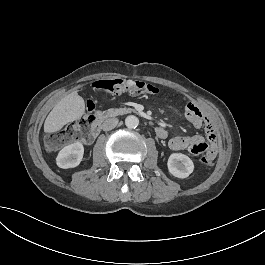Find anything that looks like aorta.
Returning a JSON list of instances; mask_svg holds the SVG:
<instances>
[{"mask_svg": "<svg viewBox=\"0 0 265 265\" xmlns=\"http://www.w3.org/2000/svg\"><path fill=\"white\" fill-rule=\"evenodd\" d=\"M125 125L130 128H136L139 125V119L134 115H129L125 118Z\"/></svg>", "mask_w": 265, "mask_h": 265, "instance_id": "aorta-1", "label": "aorta"}]
</instances>
